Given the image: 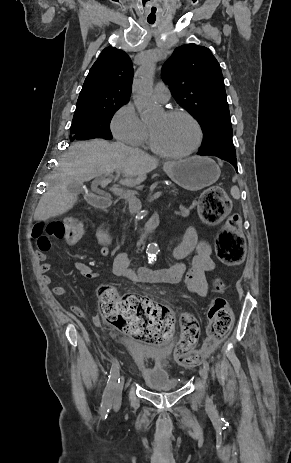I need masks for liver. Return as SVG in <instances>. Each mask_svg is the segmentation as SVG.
Wrapping results in <instances>:
<instances>
[{"label": "liver", "instance_id": "obj_1", "mask_svg": "<svg viewBox=\"0 0 291 463\" xmlns=\"http://www.w3.org/2000/svg\"><path fill=\"white\" fill-rule=\"evenodd\" d=\"M157 166L156 158L122 143H109L102 139L76 142L59 161L57 171L51 177L53 184L41 197L34 219L56 217L73 208L78 194L68 189L71 184L82 186L84 182L108 176L117 170L124 177L120 184L135 186L142 183Z\"/></svg>", "mask_w": 291, "mask_h": 463}]
</instances>
